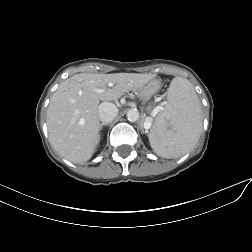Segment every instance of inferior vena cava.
<instances>
[{
    "label": "inferior vena cava",
    "instance_id": "1",
    "mask_svg": "<svg viewBox=\"0 0 252 252\" xmlns=\"http://www.w3.org/2000/svg\"><path fill=\"white\" fill-rule=\"evenodd\" d=\"M99 119L103 123L111 122L118 114V108L110 102H103L98 108Z\"/></svg>",
    "mask_w": 252,
    "mask_h": 252
}]
</instances>
